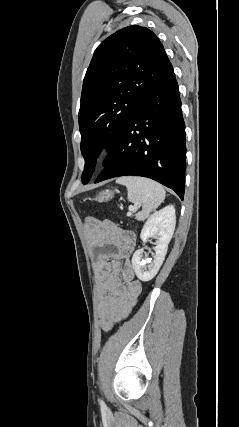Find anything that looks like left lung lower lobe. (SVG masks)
I'll return each mask as SVG.
<instances>
[{"label": "left lung lower lobe", "instance_id": "obj_1", "mask_svg": "<svg viewBox=\"0 0 239 427\" xmlns=\"http://www.w3.org/2000/svg\"><path fill=\"white\" fill-rule=\"evenodd\" d=\"M185 124L173 68L140 101L95 183L125 175L151 178L183 200Z\"/></svg>", "mask_w": 239, "mask_h": 427}]
</instances>
